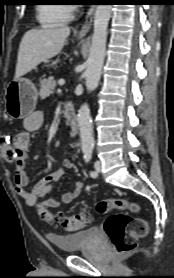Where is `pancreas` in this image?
Returning a JSON list of instances; mask_svg holds the SVG:
<instances>
[{"mask_svg":"<svg viewBox=\"0 0 174 278\" xmlns=\"http://www.w3.org/2000/svg\"><path fill=\"white\" fill-rule=\"evenodd\" d=\"M56 86V81L53 78L44 79L41 81V87L39 96L41 99H44L53 93V90Z\"/></svg>","mask_w":174,"mask_h":278,"instance_id":"1","label":"pancreas"}]
</instances>
